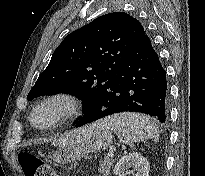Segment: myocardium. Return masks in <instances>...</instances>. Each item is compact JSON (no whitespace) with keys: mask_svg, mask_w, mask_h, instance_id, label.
I'll list each match as a JSON object with an SVG mask.
<instances>
[{"mask_svg":"<svg viewBox=\"0 0 205 176\" xmlns=\"http://www.w3.org/2000/svg\"><path fill=\"white\" fill-rule=\"evenodd\" d=\"M47 107H54L56 109V115L53 120L46 125H39L34 121L35 114ZM81 112V104L79 99L68 92H55L47 95L36 103L33 107L29 122L34 127H57L67 121L75 119Z\"/></svg>","mask_w":205,"mask_h":176,"instance_id":"myocardium-1","label":"myocardium"}]
</instances>
